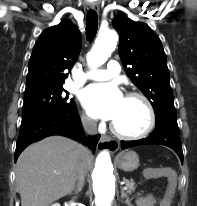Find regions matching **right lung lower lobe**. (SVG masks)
Segmentation results:
<instances>
[{"instance_id": "98d812e1", "label": "right lung lower lobe", "mask_w": 197, "mask_h": 206, "mask_svg": "<svg viewBox=\"0 0 197 206\" xmlns=\"http://www.w3.org/2000/svg\"><path fill=\"white\" fill-rule=\"evenodd\" d=\"M50 135H62L88 145L93 151L100 136H93L88 141L82 130L76 106L67 111L50 113L21 122L16 143L15 161L21 152L30 144Z\"/></svg>"}]
</instances>
